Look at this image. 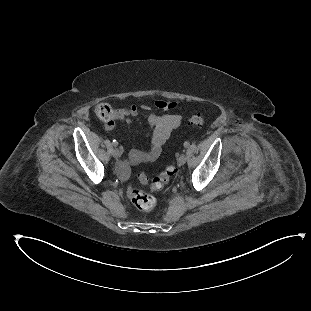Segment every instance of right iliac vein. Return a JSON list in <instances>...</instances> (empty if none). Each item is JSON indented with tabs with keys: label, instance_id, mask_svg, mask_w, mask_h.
<instances>
[{
	"label": "right iliac vein",
	"instance_id": "obj_1",
	"mask_svg": "<svg viewBox=\"0 0 311 311\" xmlns=\"http://www.w3.org/2000/svg\"><path fill=\"white\" fill-rule=\"evenodd\" d=\"M112 155H113V157H114L115 159L119 158V156H120L119 150H118L117 148H115V149L113 150V152H112Z\"/></svg>",
	"mask_w": 311,
	"mask_h": 311
}]
</instances>
